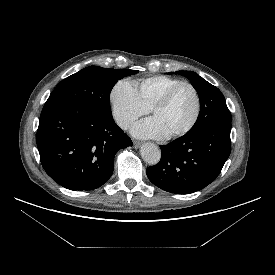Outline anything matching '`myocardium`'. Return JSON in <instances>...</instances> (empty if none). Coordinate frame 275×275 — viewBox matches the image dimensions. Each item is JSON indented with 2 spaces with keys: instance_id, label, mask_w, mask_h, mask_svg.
Here are the masks:
<instances>
[{
  "instance_id": "f54148a6",
  "label": "myocardium",
  "mask_w": 275,
  "mask_h": 275,
  "mask_svg": "<svg viewBox=\"0 0 275 275\" xmlns=\"http://www.w3.org/2000/svg\"><path fill=\"white\" fill-rule=\"evenodd\" d=\"M182 87H188L190 88L194 95H195V99H196V109H195V113L193 118L191 119V121L181 130L174 132L172 134L167 135L168 139H174V138H179L181 136H184L185 134L189 133L197 124L200 115H201V110H202V101H201V96L199 94V91L197 90V88L189 83V82H180L179 84L173 86L172 88H170L151 108H150V113L153 114L156 110L161 109L166 107L171 99L173 98V96L175 95V93Z\"/></svg>"
}]
</instances>
